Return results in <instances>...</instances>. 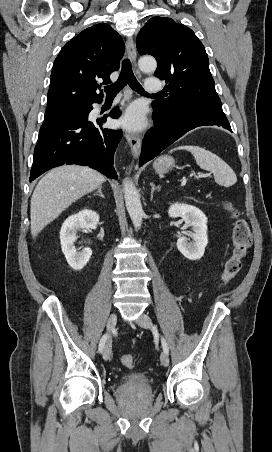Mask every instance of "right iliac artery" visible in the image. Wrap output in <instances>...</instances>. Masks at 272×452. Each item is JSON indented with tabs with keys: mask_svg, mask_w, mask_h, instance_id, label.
Wrapping results in <instances>:
<instances>
[{
	"mask_svg": "<svg viewBox=\"0 0 272 452\" xmlns=\"http://www.w3.org/2000/svg\"><path fill=\"white\" fill-rule=\"evenodd\" d=\"M107 337H108V335H107V334H104V335L102 336L100 342H99V348H98V350H99L100 353L103 351V348H104L105 342H106V340H107Z\"/></svg>",
	"mask_w": 272,
	"mask_h": 452,
	"instance_id": "right-iliac-artery-1",
	"label": "right iliac artery"
}]
</instances>
